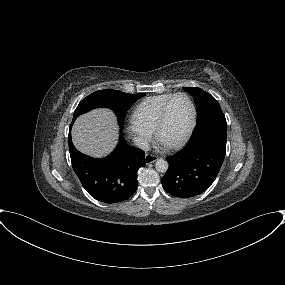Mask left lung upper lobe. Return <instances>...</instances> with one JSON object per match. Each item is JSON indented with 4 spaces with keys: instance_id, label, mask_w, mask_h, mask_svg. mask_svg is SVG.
Returning a JSON list of instances; mask_svg holds the SVG:
<instances>
[{
    "instance_id": "left-lung-upper-lobe-1",
    "label": "left lung upper lobe",
    "mask_w": 285,
    "mask_h": 285,
    "mask_svg": "<svg viewBox=\"0 0 285 285\" xmlns=\"http://www.w3.org/2000/svg\"><path fill=\"white\" fill-rule=\"evenodd\" d=\"M183 89L194 97L197 109V120L210 110L221 109L217 100L204 90L196 87H183Z\"/></svg>"
}]
</instances>
